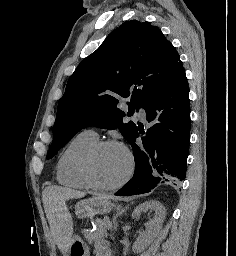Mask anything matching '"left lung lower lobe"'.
<instances>
[{
  "instance_id": "1",
  "label": "left lung lower lobe",
  "mask_w": 236,
  "mask_h": 256,
  "mask_svg": "<svg viewBox=\"0 0 236 256\" xmlns=\"http://www.w3.org/2000/svg\"><path fill=\"white\" fill-rule=\"evenodd\" d=\"M147 121L153 125L146 133L136 127L129 143L135 158L133 178L116 196L148 193L166 182L185 179L190 138L189 87L182 68L143 105ZM142 133V144L135 140Z\"/></svg>"
}]
</instances>
